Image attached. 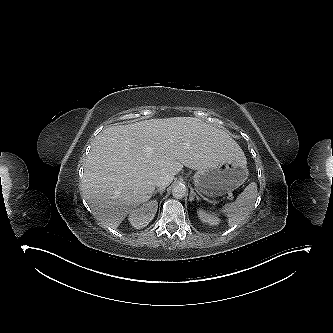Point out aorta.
Segmentation results:
<instances>
[{
  "label": "aorta",
  "mask_w": 333,
  "mask_h": 333,
  "mask_svg": "<svg viewBox=\"0 0 333 333\" xmlns=\"http://www.w3.org/2000/svg\"><path fill=\"white\" fill-rule=\"evenodd\" d=\"M172 195L176 199H182L186 195V187L183 184H176L172 189Z\"/></svg>",
  "instance_id": "762f6f07"
}]
</instances>
